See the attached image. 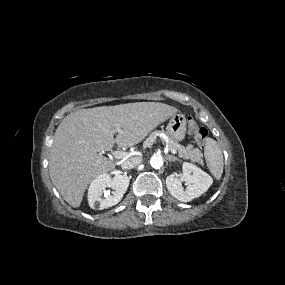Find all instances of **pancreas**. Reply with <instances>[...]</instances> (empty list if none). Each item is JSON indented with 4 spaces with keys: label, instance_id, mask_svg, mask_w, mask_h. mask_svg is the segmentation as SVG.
Segmentation results:
<instances>
[{
    "label": "pancreas",
    "instance_id": "cf45deb5",
    "mask_svg": "<svg viewBox=\"0 0 285 285\" xmlns=\"http://www.w3.org/2000/svg\"><path fill=\"white\" fill-rule=\"evenodd\" d=\"M161 131H153L147 140L145 141L146 145H149L154 143V141L157 139V137L160 135ZM169 149H175L178 152L179 157L184 159H190L193 162H197L199 164H203L202 160V153L198 148H193L192 145H188L187 147L182 146L181 144L169 140L168 142Z\"/></svg>",
    "mask_w": 285,
    "mask_h": 285
}]
</instances>
